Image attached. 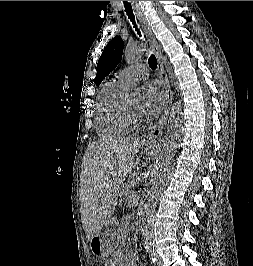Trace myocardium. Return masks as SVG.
Here are the masks:
<instances>
[{
    "label": "myocardium",
    "instance_id": "myocardium-1",
    "mask_svg": "<svg viewBox=\"0 0 253 266\" xmlns=\"http://www.w3.org/2000/svg\"><path fill=\"white\" fill-rule=\"evenodd\" d=\"M122 110L128 121L133 125L136 126L139 120V116L136 112L132 111L129 107L127 100L123 99L122 102Z\"/></svg>",
    "mask_w": 253,
    "mask_h": 266
}]
</instances>
